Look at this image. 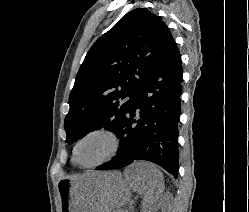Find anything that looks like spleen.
Listing matches in <instances>:
<instances>
[{
    "instance_id": "spleen-1",
    "label": "spleen",
    "mask_w": 249,
    "mask_h": 212,
    "mask_svg": "<svg viewBox=\"0 0 249 212\" xmlns=\"http://www.w3.org/2000/svg\"><path fill=\"white\" fill-rule=\"evenodd\" d=\"M154 172H155V174H159V176H162V174H160L159 170H154ZM155 190H160L159 184H155ZM149 194H150V196H153L152 190H150ZM158 198H159V192L157 194V200H158Z\"/></svg>"
}]
</instances>
